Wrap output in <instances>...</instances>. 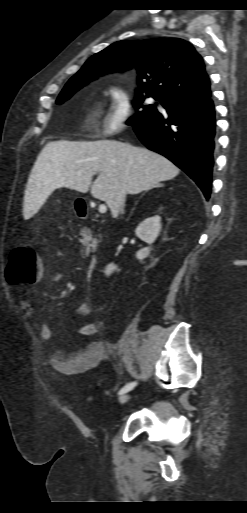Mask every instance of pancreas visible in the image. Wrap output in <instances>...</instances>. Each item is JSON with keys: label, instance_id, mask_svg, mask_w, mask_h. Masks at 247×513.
<instances>
[{"label": "pancreas", "instance_id": "cf45deb5", "mask_svg": "<svg viewBox=\"0 0 247 513\" xmlns=\"http://www.w3.org/2000/svg\"><path fill=\"white\" fill-rule=\"evenodd\" d=\"M80 235L82 236V254L85 256L89 255V252L96 249V245L98 244V240L93 238L91 231L85 226L81 229Z\"/></svg>", "mask_w": 247, "mask_h": 513}]
</instances>
